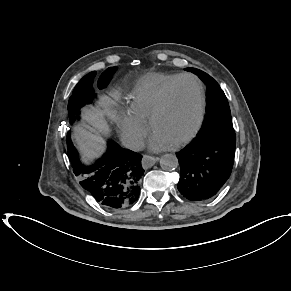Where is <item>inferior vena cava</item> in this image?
Wrapping results in <instances>:
<instances>
[{
    "instance_id": "602c4592",
    "label": "inferior vena cava",
    "mask_w": 291,
    "mask_h": 291,
    "mask_svg": "<svg viewBox=\"0 0 291 291\" xmlns=\"http://www.w3.org/2000/svg\"><path fill=\"white\" fill-rule=\"evenodd\" d=\"M122 144L131 150L140 151L145 147V143L142 137L140 136H129L122 139Z\"/></svg>"
}]
</instances>
